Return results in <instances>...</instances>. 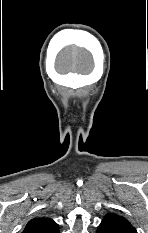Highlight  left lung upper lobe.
Here are the masks:
<instances>
[{
    "label": "left lung upper lobe",
    "instance_id": "5c2ea615",
    "mask_svg": "<svg viewBox=\"0 0 148 233\" xmlns=\"http://www.w3.org/2000/svg\"><path fill=\"white\" fill-rule=\"evenodd\" d=\"M97 233H137V231L124 217L108 213L98 226Z\"/></svg>",
    "mask_w": 148,
    "mask_h": 233
}]
</instances>
